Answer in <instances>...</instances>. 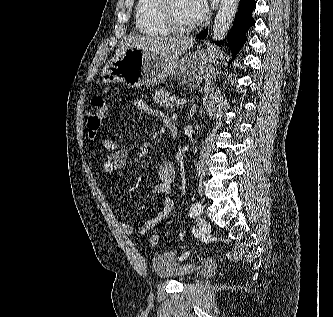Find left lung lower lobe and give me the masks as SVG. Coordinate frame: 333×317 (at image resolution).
I'll return each mask as SVG.
<instances>
[{
  "label": "left lung lower lobe",
  "instance_id": "0a47b994",
  "mask_svg": "<svg viewBox=\"0 0 333 317\" xmlns=\"http://www.w3.org/2000/svg\"><path fill=\"white\" fill-rule=\"evenodd\" d=\"M256 6L255 0H240L239 9L235 16L233 27L230 30L227 39L228 47L232 51L233 58L236 57L242 45L246 42L247 30L255 24V20L252 17V12ZM208 34V28L200 32L196 37L204 39ZM218 45H223L224 42H217ZM232 63V60L230 61ZM229 68V67H228Z\"/></svg>",
  "mask_w": 333,
  "mask_h": 317
}]
</instances>
